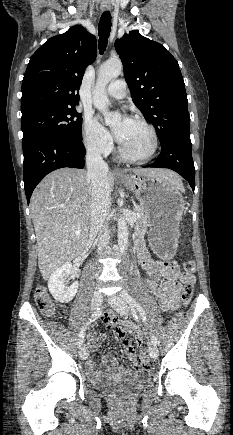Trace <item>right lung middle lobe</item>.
<instances>
[{"mask_svg": "<svg viewBox=\"0 0 233 435\" xmlns=\"http://www.w3.org/2000/svg\"><path fill=\"white\" fill-rule=\"evenodd\" d=\"M26 144L42 137H56L67 141L82 140V117L74 107L61 106L39 109L21 118Z\"/></svg>", "mask_w": 233, "mask_h": 435, "instance_id": "dd1d6c3e", "label": "right lung middle lobe"}]
</instances>
